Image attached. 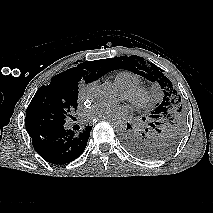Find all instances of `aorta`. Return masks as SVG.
<instances>
[{"instance_id": "1", "label": "aorta", "mask_w": 213, "mask_h": 213, "mask_svg": "<svg viewBox=\"0 0 213 213\" xmlns=\"http://www.w3.org/2000/svg\"><path fill=\"white\" fill-rule=\"evenodd\" d=\"M96 98L101 103L113 104L119 101L120 94L114 86L103 84L97 89ZM112 126L116 131H125L127 128V121L120 118L114 119Z\"/></svg>"}]
</instances>
